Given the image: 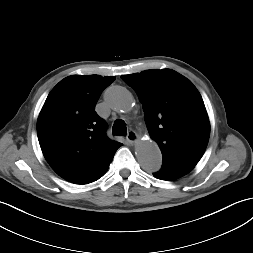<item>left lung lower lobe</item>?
Here are the masks:
<instances>
[{
    "label": "left lung lower lobe",
    "mask_w": 253,
    "mask_h": 253,
    "mask_svg": "<svg viewBox=\"0 0 253 253\" xmlns=\"http://www.w3.org/2000/svg\"><path fill=\"white\" fill-rule=\"evenodd\" d=\"M193 168L194 166L187 164L163 162L160 171L154 173L153 176L157 179L170 181L184 176Z\"/></svg>",
    "instance_id": "1"
}]
</instances>
